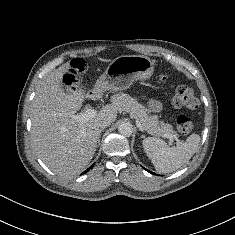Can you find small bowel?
<instances>
[{
  "label": "small bowel",
  "instance_id": "1",
  "mask_svg": "<svg viewBox=\"0 0 235 235\" xmlns=\"http://www.w3.org/2000/svg\"><path fill=\"white\" fill-rule=\"evenodd\" d=\"M148 106L150 107L151 110H153L155 112L161 110V104L156 100H149Z\"/></svg>",
  "mask_w": 235,
  "mask_h": 235
}]
</instances>
